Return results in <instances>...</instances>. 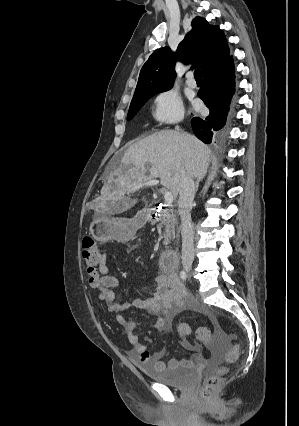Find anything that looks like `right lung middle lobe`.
<instances>
[{"instance_id":"right-lung-middle-lobe-1","label":"right lung middle lobe","mask_w":299,"mask_h":426,"mask_svg":"<svg viewBox=\"0 0 299 426\" xmlns=\"http://www.w3.org/2000/svg\"><path fill=\"white\" fill-rule=\"evenodd\" d=\"M169 90V89H167ZM166 91V90H163ZM163 91H159V92H163ZM159 92H148V93H144V94H139L133 97L131 104H130V108H129V112L127 115V120L132 119L136 113L140 110V108L145 104V102L151 98L153 95L159 93Z\"/></svg>"}]
</instances>
